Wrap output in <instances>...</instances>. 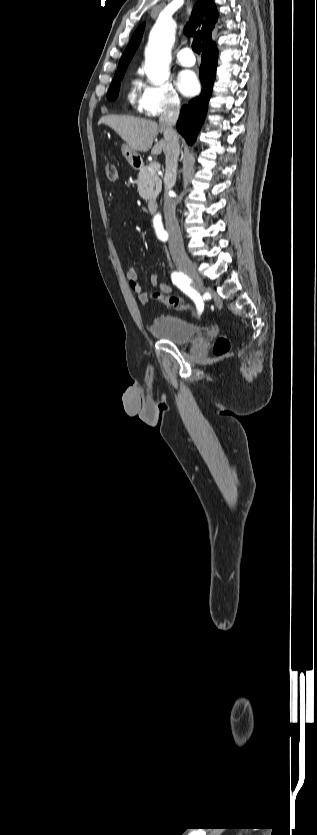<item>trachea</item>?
Returning a JSON list of instances; mask_svg holds the SVG:
<instances>
[{
  "label": "trachea",
  "instance_id": "3493384b",
  "mask_svg": "<svg viewBox=\"0 0 317 835\" xmlns=\"http://www.w3.org/2000/svg\"><path fill=\"white\" fill-rule=\"evenodd\" d=\"M200 46H201L200 39H199V38H197V37H196V38H194V39H193V42H192V49H193V51H194V52H196L197 54H199V53H200Z\"/></svg>",
  "mask_w": 317,
  "mask_h": 835
}]
</instances>
